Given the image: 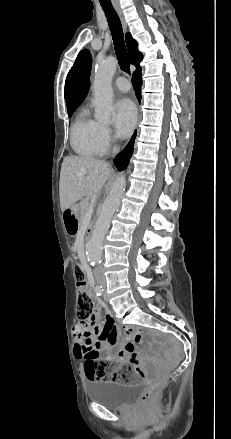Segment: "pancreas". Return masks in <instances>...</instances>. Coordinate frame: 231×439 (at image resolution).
I'll list each match as a JSON object with an SVG mask.
<instances>
[{"label":"pancreas","instance_id":"cf45deb5","mask_svg":"<svg viewBox=\"0 0 231 439\" xmlns=\"http://www.w3.org/2000/svg\"><path fill=\"white\" fill-rule=\"evenodd\" d=\"M90 207V202L89 199H83L80 203H79V208H80V215H79V223L83 224L85 219H86V214L87 211Z\"/></svg>","mask_w":231,"mask_h":439}]
</instances>
